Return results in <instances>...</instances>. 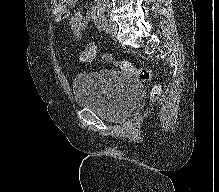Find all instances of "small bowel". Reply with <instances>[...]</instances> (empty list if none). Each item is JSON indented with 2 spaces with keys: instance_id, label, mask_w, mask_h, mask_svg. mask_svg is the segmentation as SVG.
<instances>
[{
  "instance_id": "obj_1",
  "label": "small bowel",
  "mask_w": 219,
  "mask_h": 192,
  "mask_svg": "<svg viewBox=\"0 0 219 192\" xmlns=\"http://www.w3.org/2000/svg\"><path fill=\"white\" fill-rule=\"evenodd\" d=\"M77 0H50L49 8L57 21L64 20L68 13L74 9ZM96 7L92 6L87 14L82 10H75L69 20V25L72 31L78 35L86 26L89 20L96 18ZM104 59L109 60V55H104Z\"/></svg>"
}]
</instances>
